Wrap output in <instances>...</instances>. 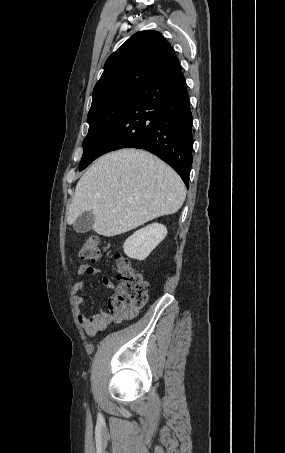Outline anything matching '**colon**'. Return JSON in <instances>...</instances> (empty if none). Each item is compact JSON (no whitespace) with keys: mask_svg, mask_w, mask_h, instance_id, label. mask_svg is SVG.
<instances>
[{"mask_svg":"<svg viewBox=\"0 0 285 453\" xmlns=\"http://www.w3.org/2000/svg\"><path fill=\"white\" fill-rule=\"evenodd\" d=\"M101 256L99 236H88L80 249L81 259L96 262ZM114 271L118 285L113 298L124 316L133 317L148 300L149 283L130 261L120 254L115 256Z\"/></svg>","mask_w":285,"mask_h":453,"instance_id":"1","label":"colon"}]
</instances>
